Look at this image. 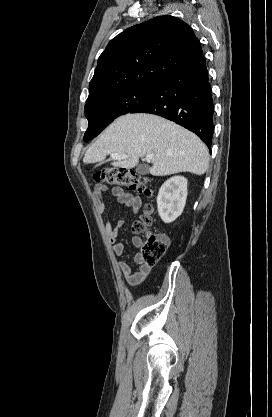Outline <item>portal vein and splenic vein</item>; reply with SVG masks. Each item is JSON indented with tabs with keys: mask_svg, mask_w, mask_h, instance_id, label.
Wrapping results in <instances>:
<instances>
[{
	"mask_svg": "<svg viewBox=\"0 0 272 417\" xmlns=\"http://www.w3.org/2000/svg\"><path fill=\"white\" fill-rule=\"evenodd\" d=\"M111 158L114 160H123V159H128L129 156L126 154H119V153H111ZM154 157V154H147L145 159L147 161H150L152 158Z\"/></svg>",
	"mask_w": 272,
	"mask_h": 417,
	"instance_id": "1",
	"label": "portal vein and splenic vein"
}]
</instances>
